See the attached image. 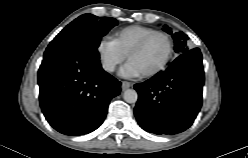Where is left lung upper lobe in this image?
I'll return each mask as SVG.
<instances>
[{
    "label": "left lung upper lobe",
    "instance_id": "5c2ea615",
    "mask_svg": "<svg viewBox=\"0 0 248 158\" xmlns=\"http://www.w3.org/2000/svg\"><path fill=\"white\" fill-rule=\"evenodd\" d=\"M164 27H165L164 31L172 35L175 43L174 48L178 54H183L189 51L187 47V40H188L187 35H185L183 32H178L173 34L170 28H168L167 26Z\"/></svg>",
    "mask_w": 248,
    "mask_h": 158
}]
</instances>
